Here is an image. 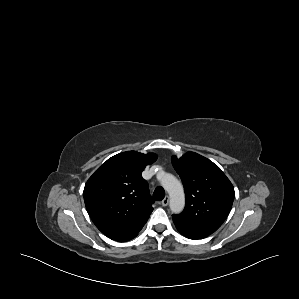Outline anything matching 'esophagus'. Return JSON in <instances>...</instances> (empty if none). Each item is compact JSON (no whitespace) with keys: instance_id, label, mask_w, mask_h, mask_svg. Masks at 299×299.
<instances>
[{"instance_id":"obj_1","label":"esophagus","mask_w":299,"mask_h":299,"mask_svg":"<svg viewBox=\"0 0 299 299\" xmlns=\"http://www.w3.org/2000/svg\"><path fill=\"white\" fill-rule=\"evenodd\" d=\"M169 203V197L166 196L162 201H161V205L162 206H167Z\"/></svg>"}]
</instances>
